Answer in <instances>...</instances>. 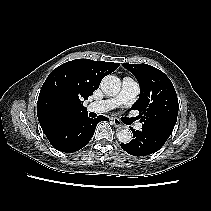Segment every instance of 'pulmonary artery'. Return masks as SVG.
<instances>
[{
  "mask_svg": "<svg viewBox=\"0 0 211 211\" xmlns=\"http://www.w3.org/2000/svg\"><path fill=\"white\" fill-rule=\"evenodd\" d=\"M139 92V84L130 77H124L121 84V90L115 97L91 102L87 109L96 113H104L133 100ZM135 128L141 130L142 124L137 123Z\"/></svg>",
  "mask_w": 211,
  "mask_h": 211,
  "instance_id": "pulmonary-artery-1",
  "label": "pulmonary artery"
}]
</instances>
